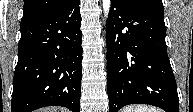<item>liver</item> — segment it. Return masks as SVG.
<instances>
[{
	"label": "liver",
	"mask_w": 193,
	"mask_h": 112,
	"mask_svg": "<svg viewBox=\"0 0 193 112\" xmlns=\"http://www.w3.org/2000/svg\"><path fill=\"white\" fill-rule=\"evenodd\" d=\"M37 112H67V110L63 108L52 107V108L40 109Z\"/></svg>",
	"instance_id": "6515ba94"
}]
</instances>
